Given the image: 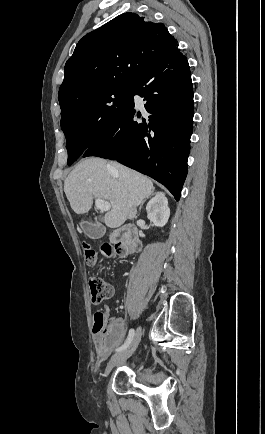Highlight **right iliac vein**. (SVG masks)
<instances>
[{"label":"right iliac vein","mask_w":265,"mask_h":434,"mask_svg":"<svg viewBox=\"0 0 265 434\" xmlns=\"http://www.w3.org/2000/svg\"><path fill=\"white\" fill-rule=\"evenodd\" d=\"M141 336H142V331H141V328L138 327L136 329L134 337H133L131 343L129 344V346L125 350H123V351H121V352H119V353H117L111 357L110 361L108 362V364L106 366V369L104 372V377H107L110 374L113 367L115 366V364L118 361H122L124 359L129 358L135 352V350H136V348H137V346L141 340Z\"/></svg>","instance_id":"obj_1"}]
</instances>
